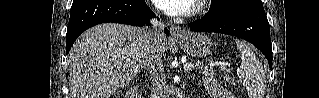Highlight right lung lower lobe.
<instances>
[{"mask_svg": "<svg viewBox=\"0 0 319 98\" xmlns=\"http://www.w3.org/2000/svg\"><path fill=\"white\" fill-rule=\"evenodd\" d=\"M155 17L144 0H74L66 34V53L86 29L106 22L134 26L150 25ZM166 35L169 31L165 28Z\"/></svg>", "mask_w": 319, "mask_h": 98, "instance_id": "right-lung-lower-lobe-1", "label": "right lung lower lobe"}]
</instances>
